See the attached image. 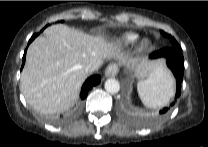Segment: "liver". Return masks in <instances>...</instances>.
I'll use <instances>...</instances> for the list:
<instances>
[{"label": "liver", "mask_w": 208, "mask_h": 147, "mask_svg": "<svg viewBox=\"0 0 208 147\" xmlns=\"http://www.w3.org/2000/svg\"><path fill=\"white\" fill-rule=\"evenodd\" d=\"M117 59L140 77L162 68L160 61L128 59L118 43L92 36L63 24L49 26L29 46L21 74V91L26 101L43 114L67 111L77 100L88 73L86 65L98 70L108 59ZM94 70V71H95Z\"/></svg>", "instance_id": "liver-1"}]
</instances>
